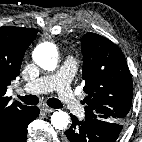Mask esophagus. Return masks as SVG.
I'll list each match as a JSON object with an SVG mask.
<instances>
[{"label": "esophagus", "instance_id": "esophagus-1", "mask_svg": "<svg viewBox=\"0 0 142 142\" xmlns=\"http://www.w3.org/2000/svg\"><path fill=\"white\" fill-rule=\"evenodd\" d=\"M42 110L44 113H52L54 111V109L47 107V106H43Z\"/></svg>", "mask_w": 142, "mask_h": 142}]
</instances>
